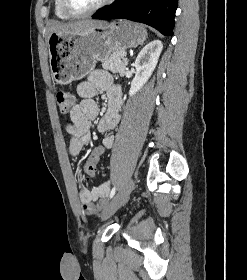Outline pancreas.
Listing matches in <instances>:
<instances>
[{
    "instance_id": "cf45deb5",
    "label": "pancreas",
    "mask_w": 247,
    "mask_h": 280,
    "mask_svg": "<svg viewBox=\"0 0 247 280\" xmlns=\"http://www.w3.org/2000/svg\"><path fill=\"white\" fill-rule=\"evenodd\" d=\"M124 56V50L115 51L102 60V67L113 73H119L121 76H123L127 65V62H123L122 60Z\"/></svg>"
}]
</instances>
